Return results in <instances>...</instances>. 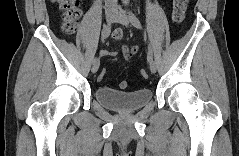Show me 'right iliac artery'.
<instances>
[{
    "mask_svg": "<svg viewBox=\"0 0 239 156\" xmlns=\"http://www.w3.org/2000/svg\"><path fill=\"white\" fill-rule=\"evenodd\" d=\"M110 32H111V23H109L108 25H105L102 29V33H101V38L102 40H105L109 35H110ZM98 60L97 57H95L93 59V63L96 62Z\"/></svg>",
    "mask_w": 239,
    "mask_h": 156,
    "instance_id": "right-iliac-artery-1",
    "label": "right iliac artery"
}]
</instances>
